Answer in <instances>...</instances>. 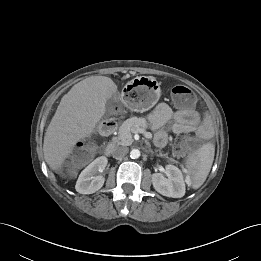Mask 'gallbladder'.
<instances>
[{"label": "gallbladder", "mask_w": 261, "mask_h": 261, "mask_svg": "<svg viewBox=\"0 0 261 261\" xmlns=\"http://www.w3.org/2000/svg\"><path fill=\"white\" fill-rule=\"evenodd\" d=\"M118 98H119V95L116 93V94L112 95V97L108 100V103L112 104V103L116 102L118 100Z\"/></svg>", "instance_id": "bac80fb5"}]
</instances>
